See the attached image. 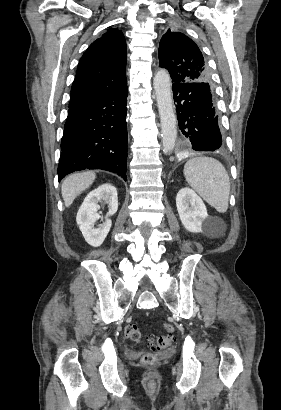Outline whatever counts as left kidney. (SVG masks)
<instances>
[{
	"label": "left kidney",
	"mask_w": 281,
	"mask_h": 410,
	"mask_svg": "<svg viewBox=\"0 0 281 410\" xmlns=\"http://www.w3.org/2000/svg\"><path fill=\"white\" fill-rule=\"evenodd\" d=\"M176 206L186 230L192 233L201 232L208 222V213L203 200L192 189L184 187L176 196Z\"/></svg>",
	"instance_id": "obj_1"
}]
</instances>
